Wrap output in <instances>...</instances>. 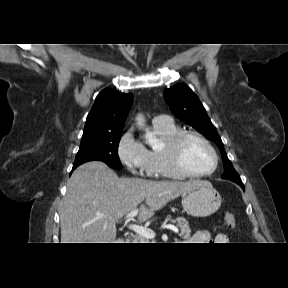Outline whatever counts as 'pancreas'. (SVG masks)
Here are the masks:
<instances>
[{
    "label": "pancreas",
    "instance_id": "obj_1",
    "mask_svg": "<svg viewBox=\"0 0 288 288\" xmlns=\"http://www.w3.org/2000/svg\"><path fill=\"white\" fill-rule=\"evenodd\" d=\"M172 223H175L181 230L179 236L182 239H189L190 235H191V230L189 228L188 222L186 221V219L184 217H178L176 219L171 220ZM134 243H148L147 238L143 237V236H136V238L134 239Z\"/></svg>",
    "mask_w": 288,
    "mask_h": 288
}]
</instances>
